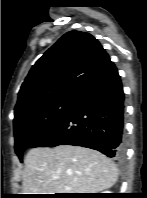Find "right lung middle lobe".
Wrapping results in <instances>:
<instances>
[{
  "label": "right lung middle lobe",
  "instance_id": "obj_1",
  "mask_svg": "<svg viewBox=\"0 0 147 198\" xmlns=\"http://www.w3.org/2000/svg\"><path fill=\"white\" fill-rule=\"evenodd\" d=\"M75 100H55L40 105L14 120L15 152H23L45 136L72 108Z\"/></svg>",
  "mask_w": 147,
  "mask_h": 198
}]
</instances>
